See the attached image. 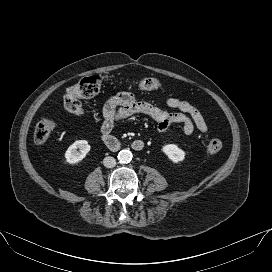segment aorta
I'll use <instances>...</instances> for the list:
<instances>
[{
    "label": "aorta",
    "mask_w": 272,
    "mask_h": 272,
    "mask_svg": "<svg viewBox=\"0 0 272 272\" xmlns=\"http://www.w3.org/2000/svg\"><path fill=\"white\" fill-rule=\"evenodd\" d=\"M117 158L121 163H128L132 160V153L130 150H121Z\"/></svg>",
    "instance_id": "aorta-1"
}]
</instances>
